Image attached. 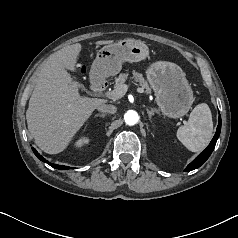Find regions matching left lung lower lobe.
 <instances>
[{"mask_svg":"<svg viewBox=\"0 0 238 238\" xmlns=\"http://www.w3.org/2000/svg\"><path fill=\"white\" fill-rule=\"evenodd\" d=\"M220 130H221V117L219 115V122H218L217 130H216V133H215L212 141L210 142L208 147L194 161H192L187 166L186 171H192V170L200 167L209 158L213 149L215 148L217 139L220 135Z\"/></svg>","mask_w":238,"mask_h":238,"instance_id":"obj_1","label":"left lung lower lobe"}]
</instances>
